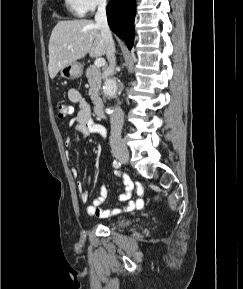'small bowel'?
I'll return each mask as SVG.
<instances>
[{"instance_id":"small-bowel-1","label":"small bowel","mask_w":243,"mask_h":289,"mask_svg":"<svg viewBox=\"0 0 243 289\" xmlns=\"http://www.w3.org/2000/svg\"><path fill=\"white\" fill-rule=\"evenodd\" d=\"M68 99L79 105V110L76 115L71 119L70 125L80 134L81 137H86L89 134H97L99 137L105 139L107 135V131L105 127L101 124H98L94 121L91 116V111L88 103L85 101L81 93L75 89L71 88L68 90ZM74 176L78 175L76 169L72 170ZM90 179L88 178V183ZM123 182L125 185V193L120 194L118 199L120 201L126 202L120 208H116L113 210H106L102 208L103 203L105 202L108 196V189L106 186H102L100 189L99 196L96 197L92 204L86 205L85 210L91 216L97 217H108L110 215L119 214L122 212H130L133 210H139L144 205L143 199V190L140 186L137 188V197L135 200H130L131 193L133 190V183L128 177H123ZM80 200L83 203H86L89 198V192L86 189H83V185L81 182L78 183Z\"/></svg>"}]
</instances>
